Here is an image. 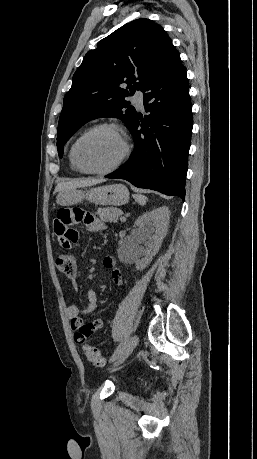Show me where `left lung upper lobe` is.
I'll return each mask as SVG.
<instances>
[{
	"instance_id": "left-lung-upper-lobe-1",
	"label": "left lung upper lobe",
	"mask_w": 257,
	"mask_h": 459,
	"mask_svg": "<svg viewBox=\"0 0 257 459\" xmlns=\"http://www.w3.org/2000/svg\"><path fill=\"white\" fill-rule=\"evenodd\" d=\"M175 47L163 28L141 18L120 27L89 51L74 73L58 123L57 148L86 122L116 117L128 127L137 115L125 97L143 90ZM126 83L127 88H121Z\"/></svg>"
}]
</instances>
